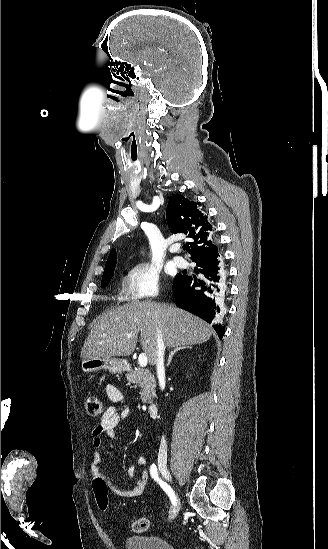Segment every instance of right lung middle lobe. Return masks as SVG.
Segmentation results:
<instances>
[{
    "label": "right lung middle lobe",
    "instance_id": "dd1d6c3e",
    "mask_svg": "<svg viewBox=\"0 0 328 549\" xmlns=\"http://www.w3.org/2000/svg\"><path fill=\"white\" fill-rule=\"evenodd\" d=\"M114 268H115V266H113L111 269H109L108 271H106L103 274L102 281H101V287H104L109 283V281L111 280V278L113 276Z\"/></svg>",
    "mask_w": 328,
    "mask_h": 549
}]
</instances>
